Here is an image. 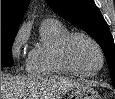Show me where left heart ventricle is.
<instances>
[{"instance_id":"b2bd125f","label":"left heart ventricle","mask_w":115,"mask_h":99,"mask_svg":"<svg viewBox=\"0 0 115 99\" xmlns=\"http://www.w3.org/2000/svg\"><path fill=\"white\" fill-rule=\"evenodd\" d=\"M69 56L73 64L85 72L96 70L100 64L96 48L84 38H75L71 41Z\"/></svg>"}]
</instances>
